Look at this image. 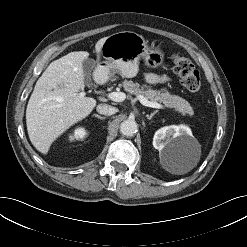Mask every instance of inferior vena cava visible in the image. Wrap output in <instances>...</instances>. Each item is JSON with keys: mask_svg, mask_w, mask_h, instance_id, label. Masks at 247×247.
<instances>
[{"mask_svg": "<svg viewBox=\"0 0 247 247\" xmlns=\"http://www.w3.org/2000/svg\"><path fill=\"white\" fill-rule=\"evenodd\" d=\"M97 112L103 115H113L117 112V108L108 104H99L96 108Z\"/></svg>", "mask_w": 247, "mask_h": 247, "instance_id": "obj_1", "label": "inferior vena cava"}]
</instances>
